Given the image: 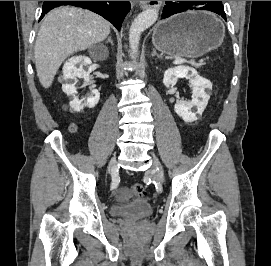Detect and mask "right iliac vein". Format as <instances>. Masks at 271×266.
<instances>
[{
	"label": "right iliac vein",
	"mask_w": 271,
	"mask_h": 266,
	"mask_svg": "<svg viewBox=\"0 0 271 266\" xmlns=\"http://www.w3.org/2000/svg\"><path fill=\"white\" fill-rule=\"evenodd\" d=\"M116 168H117L116 160H112L109 164V170L114 171L116 170Z\"/></svg>",
	"instance_id": "obj_1"
}]
</instances>
